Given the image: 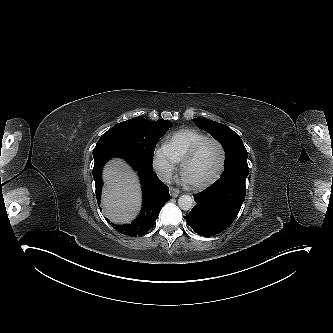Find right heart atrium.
Returning <instances> with one entry per match:
<instances>
[{
    "instance_id": "right-heart-atrium-1",
    "label": "right heart atrium",
    "mask_w": 333,
    "mask_h": 333,
    "mask_svg": "<svg viewBox=\"0 0 333 333\" xmlns=\"http://www.w3.org/2000/svg\"><path fill=\"white\" fill-rule=\"evenodd\" d=\"M176 165L177 161L165 145L156 148L153 155V167L164 180H168L172 176Z\"/></svg>"
}]
</instances>
